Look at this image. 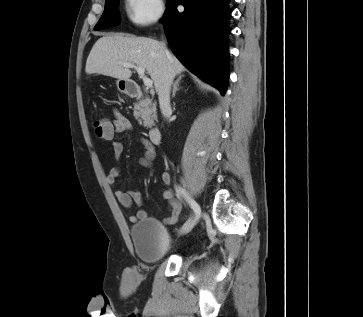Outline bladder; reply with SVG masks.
Segmentation results:
<instances>
[{
    "instance_id": "1",
    "label": "bladder",
    "mask_w": 363,
    "mask_h": 317,
    "mask_svg": "<svg viewBox=\"0 0 363 317\" xmlns=\"http://www.w3.org/2000/svg\"><path fill=\"white\" fill-rule=\"evenodd\" d=\"M130 237L137 255L144 263H157L169 254L168 232L155 219L145 218L133 224Z\"/></svg>"
}]
</instances>
